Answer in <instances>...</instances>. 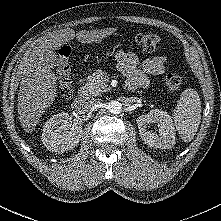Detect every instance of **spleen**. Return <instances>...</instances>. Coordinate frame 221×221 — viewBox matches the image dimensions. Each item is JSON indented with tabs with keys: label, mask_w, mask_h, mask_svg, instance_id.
<instances>
[{
	"label": "spleen",
	"mask_w": 221,
	"mask_h": 221,
	"mask_svg": "<svg viewBox=\"0 0 221 221\" xmlns=\"http://www.w3.org/2000/svg\"><path fill=\"white\" fill-rule=\"evenodd\" d=\"M201 121V102L194 89H186L174 109V124L185 142L194 138Z\"/></svg>",
	"instance_id": "spleen-1"
}]
</instances>
